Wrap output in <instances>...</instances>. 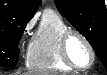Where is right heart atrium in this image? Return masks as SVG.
<instances>
[{"instance_id":"right-heart-atrium-1","label":"right heart atrium","mask_w":107,"mask_h":75,"mask_svg":"<svg viewBox=\"0 0 107 75\" xmlns=\"http://www.w3.org/2000/svg\"><path fill=\"white\" fill-rule=\"evenodd\" d=\"M29 28H30L29 24L25 26V28L23 29V31L21 33V37H23L28 32Z\"/></svg>"}]
</instances>
